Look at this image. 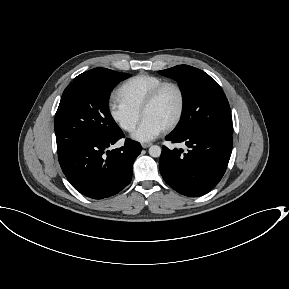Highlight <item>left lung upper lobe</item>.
I'll use <instances>...</instances> for the list:
<instances>
[{"label":"left lung upper lobe","mask_w":289,"mask_h":289,"mask_svg":"<svg viewBox=\"0 0 289 289\" xmlns=\"http://www.w3.org/2000/svg\"><path fill=\"white\" fill-rule=\"evenodd\" d=\"M159 73L175 79L183 95L184 116L175 133L204 130L232 134L226 95L207 73L189 65H178Z\"/></svg>","instance_id":"left-lung-upper-lobe-1"}]
</instances>
